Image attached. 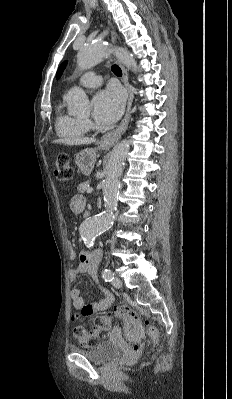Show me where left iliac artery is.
Wrapping results in <instances>:
<instances>
[{"label": "left iliac artery", "instance_id": "1", "mask_svg": "<svg viewBox=\"0 0 232 399\" xmlns=\"http://www.w3.org/2000/svg\"><path fill=\"white\" fill-rule=\"evenodd\" d=\"M103 278L105 282H111L114 279V274L109 268H105L103 271Z\"/></svg>", "mask_w": 232, "mask_h": 399}]
</instances>
